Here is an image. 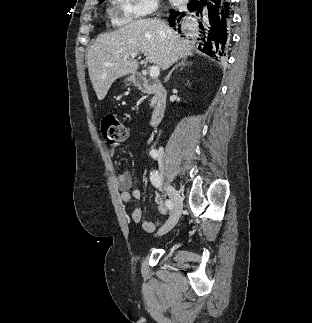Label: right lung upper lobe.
<instances>
[{"label": "right lung upper lobe", "instance_id": "cb5924a9", "mask_svg": "<svg viewBox=\"0 0 312 323\" xmlns=\"http://www.w3.org/2000/svg\"><path fill=\"white\" fill-rule=\"evenodd\" d=\"M100 1V3H102L104 0H99Z\"/></svg>", "mask_w": 312, "mask_h": 323}]
</instances>
